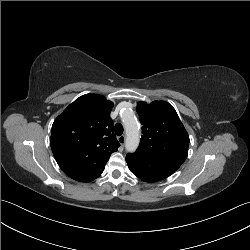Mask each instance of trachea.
Returning <instances> with one entry per match:
<instances>
[{
  "instance_id": "obj_1",
  "label": "trachea",
  "mask_w": 250,
  "mask_h": 250,
  "mask_svg": "<svg viewBox=\"0 0 250 250\" xmlns=\"http://www.w3.org/2000/svg\"><path fill=\"white\" fill-rule=\"evenodd\" d=\"M116 135L121 136L123 134V126L120 123H117L114 127Z\"/></svg>"
}]
</instances>
